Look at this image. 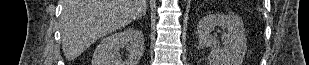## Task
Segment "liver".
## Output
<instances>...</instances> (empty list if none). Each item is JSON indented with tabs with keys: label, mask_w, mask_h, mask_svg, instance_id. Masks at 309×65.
Returning a JSON list of instances; mask_svg holds the SVG:
<instances>
[{
	"label": "liver",
	"mask_w": 309,
	"mask_h": 65,
	"mask_svg": "<svg viewBox=\"0 0 309 65\" xmlns=\"http://www.w3.org/2000/svg\"><path fill=\"white\" fill-rule=\"evenodd\" d=\"M147 0H62L60 29L67 60L81 55L97 39L138 19Z\"/></svg>",
	"instance_id": "6515ba94"
}]
</instances>
